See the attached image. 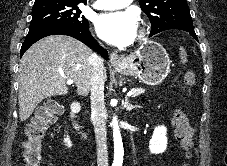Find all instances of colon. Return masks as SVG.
<instances>
[{
    "label": "colon",
    "instance_id": "obj_1",
    "mask_svg": "<svg viewBox=\"0 0 227 166\" xmlns=\"http://www.w3.org/2000/svg\"><path fill=\"white\" fill-rule=\"evenodd\" d=\"M178 61L184 65L188 64L189 55L186 49L179 50ZM194 79V72L188 70L184 75L185 87H190L194 83ZM61 111L62 106L56 99L47 100L36 110L31 123L26 128V139L23 143L22 159L25 166L41 165L46 132ZM172 122L178 142L186 152H189L192 146V128L186 115L177 109Z\"/></svg>",
    "mask_w": 227,
    "mask_h": 166
}]
</instances>
